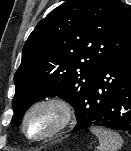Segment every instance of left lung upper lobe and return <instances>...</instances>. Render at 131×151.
<instances>
[{"mask_svg":"<svg viewBox=\"0 0 131 151\" xmlns=\"http://www.w3.org/2000/svg\"><path fill=\"white\" fill-rule=\"evenodd\" d=\"M131 46V16L121 0H67L42 19L15 73L12 123L35 102L59 96L78 118L104 64Z\"/></svg>","mask_w":131,"mask_h":151,"instance_id":"5c2ea615","label":"left lung upper lobe"}]
</instances>
